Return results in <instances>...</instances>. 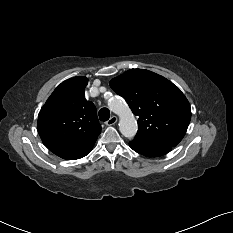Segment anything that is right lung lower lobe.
<instances>
[{
	"label": "right lung lower lobe",
	"mask_w": 233,
	"mask_h": 233,
	"mask_svg": "<svg viewBox=\"0 0 233 233\" xmlns=\"http://www.w3.org/2000/svg\"><path fill=\"white\" fill-rule=\"evenodd\" d=\"M94 143L78 148H57L51 151L63 159L75 160L86 156L92 150Z\"/></svg>",
	"instance_id": "right-lung-lower-lobe-1"
}]
</instances>
